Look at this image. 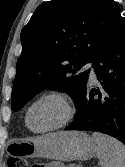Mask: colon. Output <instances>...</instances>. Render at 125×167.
<instances>
[{"instance_id":"colon-1","label":"colon","mask_w":125,"mask_h":167,"mask_svg":"<svg viewBox=\"0 0 125 167\" xmlns=\"http://www.w3.org/2000/svg\"><path fill=\"white\" fill-rule=\"evenodd\" d=\"M8 167H29L27 161L21 157H10L8 159ZM31 167H39L38 165H33Z\"/></svg>"}]
</instances>
